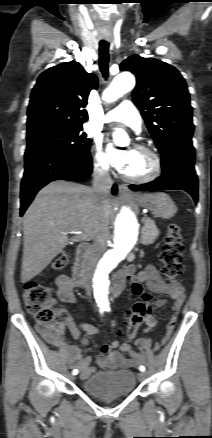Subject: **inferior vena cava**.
I'll return each instance as SVG.
<instances>
[{
	"label": "inferior vena cava",
	"mask_w": 212,
	"mask_h": 438,
	"mask_svg": "<svg viewBox=\"0 0 212 438\" xmlns=\"http://www.w3.org/2000/svg\"><path fill=\"white\" fill-rule=\"evenodd\" d=\"M111 187L112 180L108 170L96 164L93 171L92 188L95 198L97 200H105L109 196ZM106 233L107 232L99 231L93 237V246L87 260V271L89 276L93 273L98 260L104 252Z\"/></svg>",
	"instance_id": "602c4592"
}]
</instances>
